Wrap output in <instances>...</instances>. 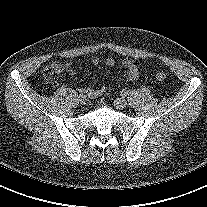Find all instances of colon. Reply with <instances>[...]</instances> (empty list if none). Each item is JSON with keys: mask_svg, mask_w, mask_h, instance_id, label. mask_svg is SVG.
<instances>
[{"mask_svg": "<svg viewBox=\"0 0 207 207\" xmlns=\"http://www.w3.org/2000/svg\"><path fill=\"white\" fill-rule=\"evenodd\" d=\"M59 67L57 65L51 64L45 71L46 77L50 80L52 77L59 73ZM155 79L158 81H164L166 79V73L162 70H158L154 74Z\"/></svg>", "mask_w": 207, "mask_h": 207, "instance_id": "1", "label": "colon"}]
</instances>
